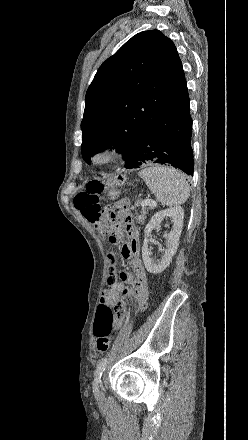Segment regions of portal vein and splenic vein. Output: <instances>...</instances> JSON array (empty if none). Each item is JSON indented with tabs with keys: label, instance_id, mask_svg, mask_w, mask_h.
<instances>
[{
	"label": "portal vein and splenic vein",
	"instance_id": "1",
	"mask_svg": "<svg viewBox=\"0 0 248 440\" xmlns=\"http://www.w3.org/2000/svg\"><path fill=\"white\" fill-rule=\"evenodd\" d=\"M146 205H154L156 206L155 201L151 200V199H146L143 201L142 206H146Z\"/></svg>",
	"mask_w": 248,
	"mask_h": 440
}]
</instances>
